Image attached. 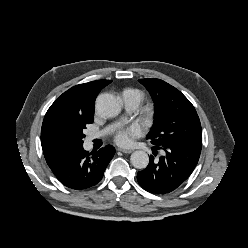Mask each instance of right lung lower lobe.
<instances>
[{"label":"right lung lower lobe","mask_w":248,"mask_h":248,"mask_svg":"<svg viewBox=\"0 0 248 248\" xmlns=\"http://www.w3.org/2000/svg\"><path fill=\"white\" fill-rule=\"evenodd\" d=\"M115 154V148L107 145L97 152L88 153L79 146L50 167L57 179L65 186L82 190L97 184Z\"/></svg>","instance_id":"right-lung-lower-lobe-1"}]
</instances>
